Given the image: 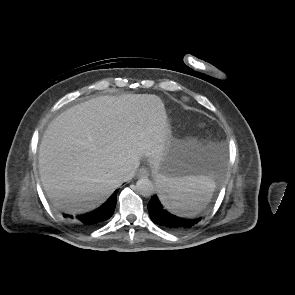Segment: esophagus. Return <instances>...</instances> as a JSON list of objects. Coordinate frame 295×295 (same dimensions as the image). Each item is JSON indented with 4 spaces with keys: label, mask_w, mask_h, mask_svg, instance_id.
<instances>
[{
    "label": "esophagus",
    "mask_w": 295,
    "mask_h": 295,
    "mask_svg": "<svg viewBox=\"0 0 295 295\" xmlns=\"http://www.w3.org/2000/svg\"><path fill=\"white\" fill-rule=\"evenodd\" d=\"M137 175H138L139 177H147V176H149V171H148L147 168L142 167V168L139 169Z\"/></svg>",
    "instance_id": "esophagus-1"
}]
</instances>
